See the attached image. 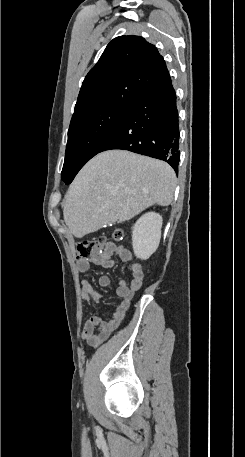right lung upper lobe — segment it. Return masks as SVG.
I'll return each instance as SVG.
<instances>
[{"instance_id":"cb5924a9","label":"right lung upper lobe","mask_w":245,"mask_h":457,"mask_svg":"<svg viewBox=\"0 0 245 457\" xmlns=\"http://www.w3.org/2000/svg\"><path fill=\"white\" fill-rule=\"evenodd\" d=\"M169 78L154 45L139 36L117 37L85 77L72 117L113 102L132 105L146 90Z\"/></svg>"}]
</instances>
